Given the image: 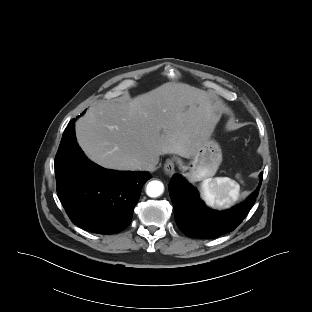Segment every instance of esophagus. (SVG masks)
Returning <instances> with one entry per match:
<instances>
[{
    "instance_id": "34e87169",
    "label": "esophagus",
    "mask_w": 312,
    "mask_h": 312,
    "mask_svg": "<svg viewBox=\"0 0 312 312\" xmlns=\"http://www.w3.org/2000/svg\"><path fill=\"white\" fill-rule=\"evenodd\" d=\"M164 172L165 174L170 177L175 172V163L173 159L166 160L164 164Z\"/></svg>"
}]
</instances>
